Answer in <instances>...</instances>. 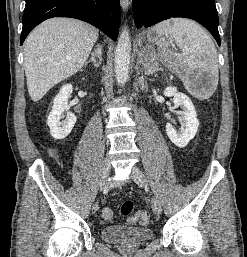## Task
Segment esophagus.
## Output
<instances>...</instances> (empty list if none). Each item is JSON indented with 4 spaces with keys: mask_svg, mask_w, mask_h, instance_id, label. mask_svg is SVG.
Masks as SVG:
<instances>
[{
    "mask_svg": "<svg viewBox=\"0 0 247 257\" xmlns=\"http://www.w3.org/2000/svg\"><path fill=\"white\" fill-rule=\"evenodd\" d=\"M121 7L123 11L126 13L130 6V0H120Z\"/></svg>",
    "mask_w": 247,
    "mask_h": 257,
    "instance_id": "obj_1",
    "label": "esophagus"
}]
</instances>
